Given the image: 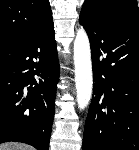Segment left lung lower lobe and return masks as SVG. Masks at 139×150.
<instances>
[{
  "label": "left lung lower lobe",
  "instance_id": "obj_1",
  "mask_svg": "<svg viewBox=\"0 0 139 150\" xmlns=\"http://www.w3.org/2000/svg\"><path fill=\"white\" fill-rule=\"evenodd\" d=\"M79 22L94 81L83 150H139V11L110 19L81 11Z\"/></svg>",
  "mask_w": 139,
  "mask_h": 150
}]
</instances>
